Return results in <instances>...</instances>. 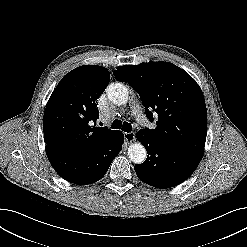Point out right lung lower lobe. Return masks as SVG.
Masks as SVG:
<instances>
[{
  "instance_id": "right-lung-lower-lobe-1",
  "label": "right lung lower lobe",
  "mask_w": 247,
  "mask_h": 247,
  "mask_svg": "<svg viewBox=\"0 0 247 247\" xmlns=\"http://www.w3.org/2000/svg\"><path fill=\"white\" fill-rule=\"evenodd\" d=\"M123 139V133L116 131L95 149L84 154H72L52 147H46V154L63 179L77 185H86L105 175L112 160L121 151Z\"/></svg>"
}]
</instances>
